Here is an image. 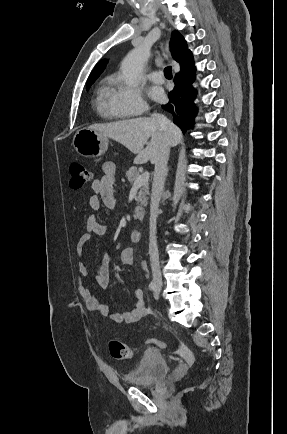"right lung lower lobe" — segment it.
I'll return each mask as SVG.
<instances>
[{"instance_id": "right-lung-lower-lobe-1", "label": "right lung lower lobe", "mask_w": 287, "mask_h": 434, "mask_svg": "<svg viewBox=\"0 0 287 434\" xmlns=\"http://www.w3.org/2000/svg\"><path fill=\"white\" fill-rule=\"evenodd\" d=\"M193 57L183 66L175 76V87L169 93V103L162 105V108L173 115L174 123L182 131L193 128L194 118L197 114V107L194 104L197 91L192 86L195 80Z\"/></svg>"}]
</instances>
